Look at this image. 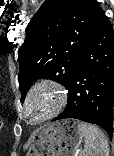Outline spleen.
<instances>
[{
  "label": "spleen",
  "mask_w": 114,
  "mask_h": 156,
  "mask_svg": "<svg viewBox=\"0 0 114 156\" xmlns=\"http://www.w3.org/2000/svg\"><path fill=\"white\" fill-rule=\"evenodd\" d=\"M79 129L84 136L82 156H109L108 140L103 131L85 122H80Z\"/></svg>",
  "instance_id": "1"
}]
</instances>
